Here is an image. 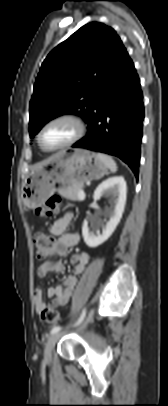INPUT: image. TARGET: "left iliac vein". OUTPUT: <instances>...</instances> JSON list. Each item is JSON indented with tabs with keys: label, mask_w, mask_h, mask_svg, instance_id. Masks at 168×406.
Returning <instances> with one entry per match:
<instances>
[{
	"label": "left iliac vein",
	"mask_w": 168,
	"mask_h": 406,
	"mask_svg": "<svg viewBox=\"0 0 168 406\" xmlns=\"http://www.w3.org/2000/svg\"><path fill=\"white\" fill-rule=\"evenodd\" d=\"M94 314V309H92L86 319V321L82 324L81 328H85L86 325L91 321L92 317ZM61 337V333L57 332L54 333L49 340L47 341L46 345H45V351H44V360L46 362H50L52 359V352L53 349L55 347L56 342L58 341V339Z\"/></svg>",
	"instance_id": "left-iliac-vein-1"
}]
</instances>
